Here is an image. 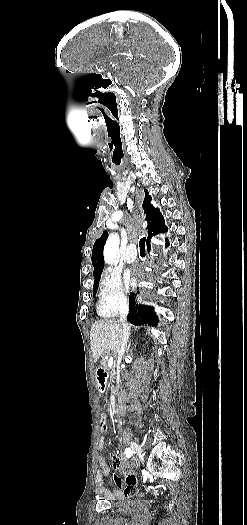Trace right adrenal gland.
Wrapping results in <instances>:
<instances>
[{"mask_svg":"<svg viewBox=\"0 0 247 525\" xmlns=\"http://www.w3.org/2000/svg\"><path fill=\"white\" fill-rule=\"evenodd\" d=\"M130 347H131V343H129V345H128L127 353L129 351Z\"/></svg>","mask_w":247,"mask_h":525,"instance_id":"obj_1","label":"right adrenal gland"}]
</instances>
